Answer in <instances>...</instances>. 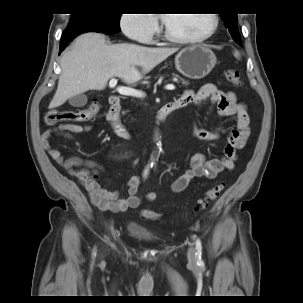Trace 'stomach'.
<instances>
[{"mask_svg":"<svg viewBox=\"0 0 303 303\" xmlns=\"http://www.w3.org/2000/svg\"><path fill=\"white\" fill-rule=\"evenodd\" d=\"M215 54L206 46L195 45L182 49L175 57L176 69L190 79L207 76L216 65Z\"/></svg>","mask_w":303,"mask_h":303,"instance_id":"0dacf381","label":"stomach"}]
</instances>
